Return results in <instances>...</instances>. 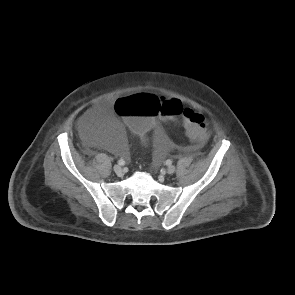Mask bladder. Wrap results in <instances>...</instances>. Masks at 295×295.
Instances as JSON below:
<instances>
[{
  "mask_svg": "<svg viewBox=\"0 0 295 295\" xmlns=\"http://www.w3.org/2000/svg\"><path fill=\"white\" fill-rule=\"evenodd\" d=\"M77 130L79 135L95 147L105 149L116 158H125L130 151L127 136L122 132L120 123L114 114L105 106L91 105L78 116ZM155 158L162 162L166 158L167 144L164 140L156 141Z\"/></svg>",
  "mask_w": 295,
  "mask_h": 295,
  "instance_id": "31cf9c89",
  "label": "bladder"
}]
</instances>
